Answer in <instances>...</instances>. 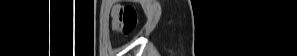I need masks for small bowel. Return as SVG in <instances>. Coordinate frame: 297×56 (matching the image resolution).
Wrapping results in <instances>:
<instances>
[{
  "instance_id": "1",
  "label": "small bowel",
  "mask_w": 297,
  "mask_h": 56,
  "mask_svg": "<svg viewBox=\"0 0 297 56\" xmlns=\"http://www.w3.org/2000/svg\"><path fill=\"white\" fill-rule=\"evenodd\" d=\"M112 27L114 30H117V10H114L112 13Z\"/></svg>"
}]
</instances>
